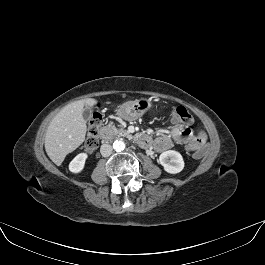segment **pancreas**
Wrapping results in <instances>:
<instances>
[{
    "label": "pancreas",
    "instance_id": "cf45deb5",
    "mask_svg": "<svg viewBox=\"0 0 265 265\" xmlns=\"http://www.w3.org/2000/svg\"><path fill=\"white\" fill-rule=\"evenodd\" d=\"M108 126L113 130V135L118 136V137H130L128 131H126L123 128H120V129L115 128L112 122L109 123Z\"/></svg>",
    "mask_w": 265,
    "mask_h": 265
}]
</instances>
